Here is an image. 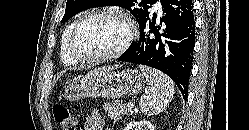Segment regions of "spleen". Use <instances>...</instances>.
Segmentation results:
<instances>
[{"instance_id":"1","label":"spleen","mask_w":249,"mask_h":130,"mask_svg":"<svg viewBox=\"0 0 249 130\" xmlns=\"http://www.w3.org/2000/svg\"><path fill=\"white\" fill-rule=\"evenodd\" d=\"M148 88L140 98V109L144 115H157L168 106L173 99L174 83L159 70L140 65Z\"/></svg>"}]
</instances>
